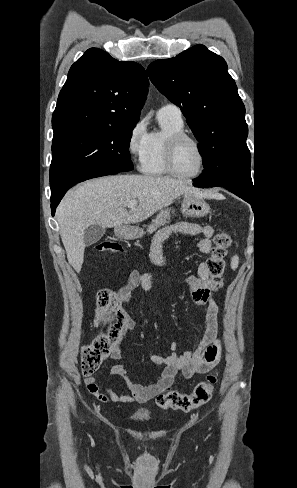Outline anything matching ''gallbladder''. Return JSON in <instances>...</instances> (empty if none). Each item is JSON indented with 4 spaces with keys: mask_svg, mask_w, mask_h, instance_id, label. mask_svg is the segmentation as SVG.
I'll return each mask as SVG.
<instances>
[{
    "mask_svg": "<svg viewBox=\"0 0 297 488\" xmlns=\"http://www.w3.org/2000/svg\"><path fill=\"white\" fill-rule=\"evenodd\" d=\"M105 234V227L94 224L89 226L84 232V242L86 245H92L98 242Z\"/></svg>",
    "mask_w": 297,
    "mask_h": 488,
    "instance_id": "obj_1",
    "label": "gallbladder"
}]
</instances>
